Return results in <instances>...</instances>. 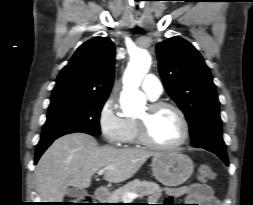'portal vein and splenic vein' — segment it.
Wrapping results in <instances>:
<instances>
[{
	"mask_svg": "<svg viewBox=\"0 0 253 205\" xmlns=\"http://www.w3.org/2000/svg\"><path fill=\"white\" fill-rule=\"evenodd\" d=\"M107 169H101L98 171V175H102ZM139 195L136 193L128 192L123 196L124 201H132L135 198H138Z\"/></svg>",
	"mask_w": 253,
	"mask_h": 205,
	"instance_id": "obj_1",
	"label": "portal vein and splenic vein"
}]
</instances>
